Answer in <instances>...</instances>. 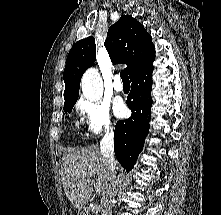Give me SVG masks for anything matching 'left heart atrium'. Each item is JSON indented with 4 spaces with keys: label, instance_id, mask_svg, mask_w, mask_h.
<instances>
[{
    "label": "left heart atrium",
    "instance_id": "obj_1",
    "mask_svg": "<svg viewBox=\"0 0 221 215\" xmlns=\"http://www.w3.org/2000/svg\"><path fill=\"white\" fill-rule=\"evenodd\" d=\"M114 111H115V114H116L118 117H123V116H125V114H126V112H127V108H126V105L124 104L123 100L119 99V100L115 103Z\"/></svg>",
    "mask_w": 221,
    "mask_h": 215
}]
</instances>
